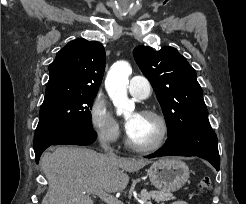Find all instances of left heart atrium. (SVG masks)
<instances>
[{
    "mask_svg": "<svg viewBox=\"0 0 246 204\" xmlns=\"http://www.w3.org/2000/svg\"><path fill=\"white\" fill-rule=\"evenodd\" d=\"M139 118V114H134L132 115L130 118L127 119L126 123H125V128L127 133L129 134L133 128L135 127L137 121Z\"/></svg>",
    "mask_w": 246,
    "mask_h": 204,
    "instance_id": "left-heart-atrium-1",
    "label": "left heart atrium"
}]
</instances>
